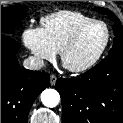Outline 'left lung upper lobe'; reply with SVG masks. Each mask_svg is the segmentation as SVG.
Returning <instances> with one entry per match:
<instances>
[{
    "label": "left lung upper lobe",
    "mask_w": 123,
    "mask_h": 123,
    "mask_svg": "<svg viewBox=\"0 0 123 123\" xmlns=\"http://www.w3.org/2000/svg\"><path fill=\"white\" fill-rule=\"evenodd\" d=\"M96 11L99 13H106L111 20L115 23L113 26L114 31V44L112 49L109 52V55L123 51V30L119 19L110 11L104 8H96Z\"/></svg>",
    "instance_id": "left-lung-upper-lobe-1"
}]
</instances>
